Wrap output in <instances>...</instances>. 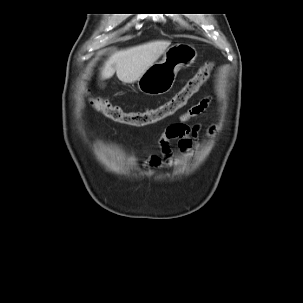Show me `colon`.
<instances>
[{"instance_id": "5ec220e1", "label": "colon", "mask_w": 303, "mask_h": 303, "mask_svg": "<svg viewBox=\"0 0 303 303\" xmlns=\"http://www.w3.org/2000/svg\"><path fill=\"white\" fill-rule=\"evenodd\" d=\"M213 68L211 62H206L185 85L165 103L149 107L142 111H125L104 98L90 99L92 108L108 119L123 125L143 127L160 122L183 108L209 78Z\"/></svg>"}]
</instances>
